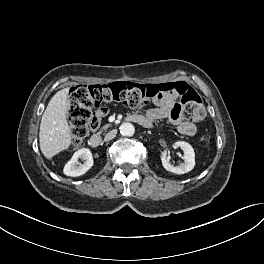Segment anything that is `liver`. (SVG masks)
Listing matches in <instances>:
<instances>
[{"instance_id": "1", "label": "liver", "mask_w": 264, "mask_h": 264, "mask_svg": "<svg viewBox=\"0 0 264 264\" xmlns=\"http://www.w3.org/2000/svg\"><path fill=\"white\" fill-rule=\"evenodd\" d=\"M68 93L69 87L58 91L42 115L39 142L47 159L68 149L71 144V131L66 119Z\"/></svg>"}]
</instances>
